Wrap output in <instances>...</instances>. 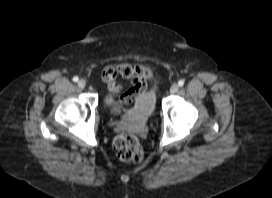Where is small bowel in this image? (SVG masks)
<instances>
[{"instance_id":"small-bowel-1","label":"small bowel","mask_w":272,"mask_h":198,"mask_svg":"<svg viewBox=\"0 0 272 198\" xmlns=\"http://www.w3.org/2000/svg\"><path fill=\"white\" fill-rule=\"evenodd\" d=\"M110 69L112 74L104 78L109 90L106 98L107 103L114 101L115 95L120 91L119 79L130 84L128 90L120 96L119 100L125 105L152 95L149 85L152 84L155 87L156 82L153 81L152 72L148 66L119 62L112 65Z\"/></svg>"}]
</instances>
